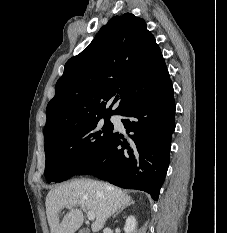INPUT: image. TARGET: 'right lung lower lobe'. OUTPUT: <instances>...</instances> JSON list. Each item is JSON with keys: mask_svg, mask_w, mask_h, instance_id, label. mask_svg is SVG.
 <instances>
[{"mask_svg": "<svg viewBox=\"0 0 227 233\" xmlns=\"http://www.w3.org/2000/svg\"><path fill=\"white\" fill-rule=\"evenodd\" d=\"M173 86L160 88L120 115L129 138L113 132L97 157L76 175H93L126 188L142 190L158 199L169 166L175 129Z\"/></svg>", "mask_w": 227, "mask_h": 233, "instance_id": "98d812e1", "label": "right lung lower lobe"}]
</instances>
